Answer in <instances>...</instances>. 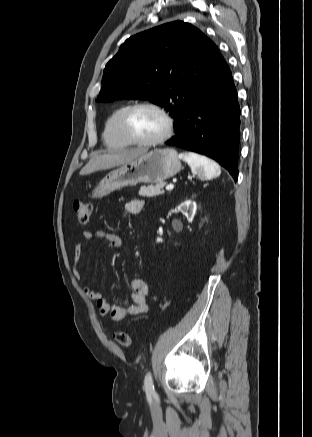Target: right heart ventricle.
Listing matches in <instances>:
<instances>
[{"label":"right heart ventricle","instance_id":"e07e8e85","mask_svg":"<svg viewBox=\"0 0 312 437\" xmlns=\"http://www.w3.org/2000/svg\"><path fill=\"white\" fill-rule=\"evenodd\" d=\"M127 107L128 105H122L115 109L105 122L103 140L106 146L111 149H123L131 145L119 130L120 116Z\"/></svg>","mask_w":312,"mask_h":437}]
</instances>
